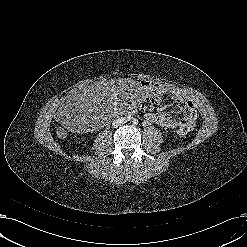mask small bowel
<instances>
[{"mask_svg":"<svg viewBox=\"0 0 247 247\" xmlns=\"http://www.w3.org/2000/svg\"><path fill=\"white\" fill-rule=\"evenodd\" d=\"M151 84L159 85L163 91V94L168 95L171 99L177 102L181 118L175 119L166 112H152L146 115L147 120L166 129L185 127L191 131L194 128L196 122V114L193 102L178 87L172 84Z\"/></svg>","mask_w":247,"mask_h":247,"instance_id":"c3829d8e","label":"small bowel"}]
</instances>
